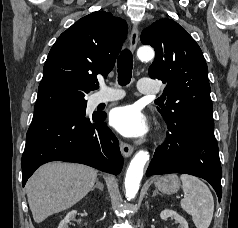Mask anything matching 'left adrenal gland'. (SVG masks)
I'll return each instance as SVG.
<instances>
[{
    "instance_id": "obj_1",
    "label": "left adrenal gland",
    "mask_w": 238,
    "mask_h": 228,
    "mask_svg": "<svg viewBox=\"0 0 238 228\" xmlns=\"http://www.w3.org/2000/svg\"><path fill=\"white\" fill-rule=\"evenodd\" d=\"M157 194H159V192H158V190L156 189V190L153 191L152 197L156 196Z\"/></svg>"
}]
</instances>
